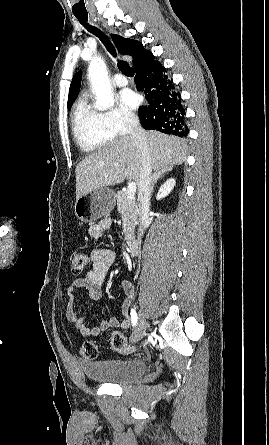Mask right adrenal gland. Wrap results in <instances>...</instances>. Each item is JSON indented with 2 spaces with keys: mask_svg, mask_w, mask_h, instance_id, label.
<instances>
[{
  "mask_svg": "<svg viewBox=\"0 0 269 445\" xmlns=\"http://www.w3.org/2000/svg\"><path fill=\"white\" fill-rule=\"evenodd\" d=\"M172 170H173L172 167H167L165 169L157 170V171L154 172L153 179H152L151 193H153L154 186H155L157 180L162 178L164 176V174H166V173H168V172H170Z\"/></svg>",
  "mask_w": 269,
  "mask_h": 445,
  "instance_id": "1",
  "label": "right adrenal gland"
}]
</instances>
